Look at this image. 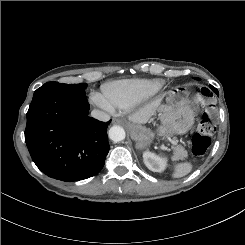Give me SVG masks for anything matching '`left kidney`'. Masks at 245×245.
Wrapping results in <instances>:
<instances>
[{
	"label": "left kidney",
	"mask_w": 245,
	"mask_h": 245,
	"mask_svg": "<svg viewBox=\"0 0 245 245\" xmlns=\"http://www.w3.org/2000/svg\"><path fill=\"white\" fill-rule=\"evenodd\" d=\"M143 160L146 167L153 172H162L167 167L166 159H162L150 151L143 153Z\"/></svg>",
	"instance_id": "1"
}]
</instances>
